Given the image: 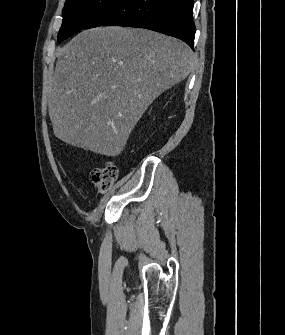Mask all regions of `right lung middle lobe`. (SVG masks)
<instances>
[{
    "instance_id": "1",
    "label": "right lung middle lobe",
    "mask_w": 285,
    "mask_h": 335,
    "mask_svg": "<svg viewBox=\"0 0 285 335\" xmlns=\"http://www.w3.org/2000/svg\"><path fill=\"white\" fill-rule=\"evenodd\" d=\"M115 0H66L58 43L82 29L91 19L108 8Z\"/></svg>"
}]
</instances>
